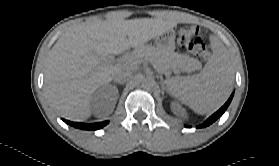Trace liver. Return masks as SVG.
Wrapping results in <instances>:
<instances>
[{
	"instance_id": "6515ba94",
	"label": "liver",
	"mask_w": 279,
	"mask_h": 166,
	"mask_svg": "<svg viewBox=\"0 0 279 166\" xmlns=\"http://www.w3.org/2000/svg\"><path fill=\"white\" fill-rule=\"evenodd\" d=\"M177 23L176 13L168 12L165 18L154 19L111 15L68 28L49 53L44 79L47 98L62 117L88 119L92 93L123 67L110 64L106 57L139 48Z\"/></svg>"
}]
</instances>
